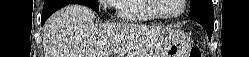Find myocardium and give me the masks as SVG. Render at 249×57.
Here are the masks:
<instances>
[{"label":"myocardium","instance_id":"myocardium-1","mask_svg":"<svg viewBox=\"0 0 249 57\" xmlns=\"http://www.w3.org/2000/svg\"><path fill=\"white\" fill-rule=\"evenodd\" d=\"M157 1L158 0H148L147 5H148L150 11L152 12V14L158 19H162V20L176 19V18L180 17L185 12L186 0H180L181 8L177 13H174V14H162V13L158 12L157 11Z\"/></svg>","mask_w":249,"mask_h":57}]
</instances>
